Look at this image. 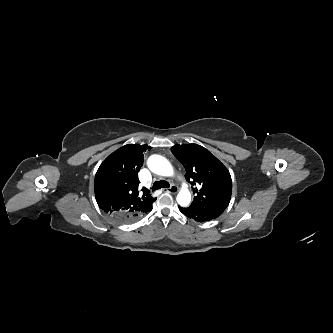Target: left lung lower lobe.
I'll return each mask as SVG.
<instances>
[{
    "instance_id": "0a47b994",
    "label": "left lung lower lobe",
    "mask_w": 333,
    "mask_h": 333,
    "mask_svg": "<svg viewBox=\"0 0 333 333\" xmlns=\"http://www.w3.org/2000/svg\"><path fill=\"white\" fill-rule=\"evenodd\" d=\"M179 210L187 217L197 221H210L217 218L223 213V210L219 209H206L195 205L186 207L179 206Z\"/></svg>"
}]
</instances>
